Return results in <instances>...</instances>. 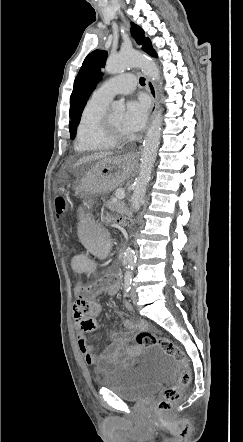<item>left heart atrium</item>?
I'll return each mask as SVG.
<instances>
[{"instance_id":"39dd6f15","label":"left heart atrium","mask_w":243,"mask_h":442,"mask_svg":"<svg viewBox=\"0 0 243 442\" xmlns=\"http://www.w3.org/2000/svg\"><path fill=\"white\" fill-rule=\"evenodd\" d=\"M148 102L145 98L130 100L127 103L123 118V126L127 133L133 134L140 131L147 119Z\"/></svg>"}]
</instances>
